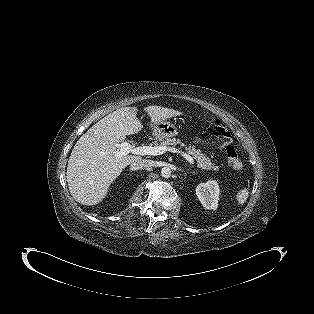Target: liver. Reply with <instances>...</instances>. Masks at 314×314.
Here are the masks:
<instances>
[{"label": "liver", "mask_w": 314, "mask_h": 314, "mask_svg": "<svg viewBox=\"0 0 314 314\" xmlns=\"http://www.w3.org/2000/svg\"><path fill=\"white\" fill-rule=\"evenodd\" d=\"M144 111L151 123L182 115L174 109L159 106H149ZM141 129L136 108L125 107L108 114L80 137L67 165L69 191L77 202L88 206L101 202L122 170L141 159L138 155H116V144Z\"/></svg>", "instance_id": "liver-1"}]
</instances>
